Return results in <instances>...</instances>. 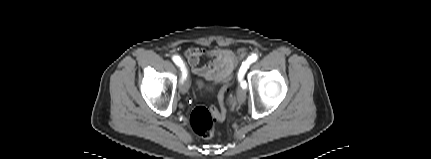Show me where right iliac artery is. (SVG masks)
Here are the masks:
<instances>
[{
	"mask_svg": "<svg viewBox=\"0 0 431 159\" xmlns=\"http://www.w3.org/2000/svg\"><path fill=\"white\" fill-rule=\"evenodd\" d=\"M172 60L174 61V63L176 65L180 66L181 71H182V80H184L186 78V76H187V73H186V68H185V65L183 64V61L177 55L173 56Z\"/></svg>",
	"mask_w": 431,
	"mask_h": 159,
	"instance_id": "right-iliac-artery-1",
	"label": "right iliac artery"
}]
</instances>
